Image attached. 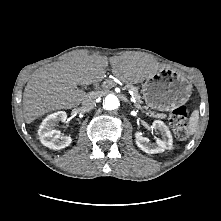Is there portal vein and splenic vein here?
I'll return each instance as SVG.
<instances>
[{
	"instance_id": "1",
	"label": "portal vein and splenic vein",
	"mask_w": 221,
	"mask_h": 221,
	"mask_svg": "<svg viewBox=\"0 0 221 221\" xmlns=\"http://www.w3.org/2000/svg\"><path fill=\"white\" fill-rule=\"evenodd\" d=\"M133 102L136 103L134 97H133Z\"/></svg>"
}]
</instances>
